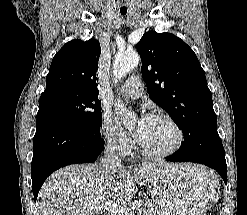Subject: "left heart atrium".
<instances>
[{
  "label": "left heart atrium",
  "mask_w": 247,
  "mask_h": 215,
  "mask_svg": "<svg viewBox=\"0 0 247 215\" xmlns=\"http://www.w3.org/2000/svg\"><path fill=\"white\" fill-rule=\"evenodd\" d=\"M152 119L153 118L150 115H143L140 117L135 129L136 137H139L142 134V132L149 126Z\"/></svg>",
  "instance_id": "1"
}]
</instances>
